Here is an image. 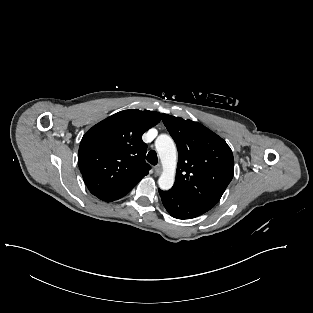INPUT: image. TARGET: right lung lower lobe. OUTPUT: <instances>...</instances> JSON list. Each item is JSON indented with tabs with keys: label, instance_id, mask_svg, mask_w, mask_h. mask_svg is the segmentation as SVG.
<instances>
[{
	"label": "right lung lower lobe",
	"instance_id": "98d812e1",
	"mask_svg": "<svg viewBox=\"0 0 313 313\" xmlns=\"http://www.w3.org/2000/svg\"><path fill=\"white\" fill-rule=\"evenodd\" d=\"M136 185H137V183L130 184V185H127L125 187H122V188H119L116 190L102 193L100 195H97V197L103 201H106V202L115 201L119 198H122L127 193H129Z\"/></svg>",
	"mask_w": 313,
	"mask_h": 313
}]
</instances>
